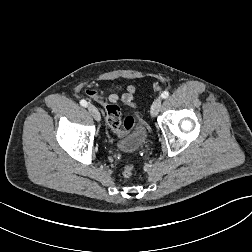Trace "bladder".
<instances>
[{"mask_svg": "<svg viewBox=\"0 0 252 252\" xmlns=\"http://www.w3.org/2000/svg\"><path fill=\"white\" fill-rule=\"evenodd\" d=\"M148 138V129L141 116L135 118V123L129 133L118 143L117 148L121 152H135L142 148Z\"/></svg>", "mask_w": 252, "mask_h": 252, "instance_id": "31cf9c89", "label": "bladder"}]
</instances>
